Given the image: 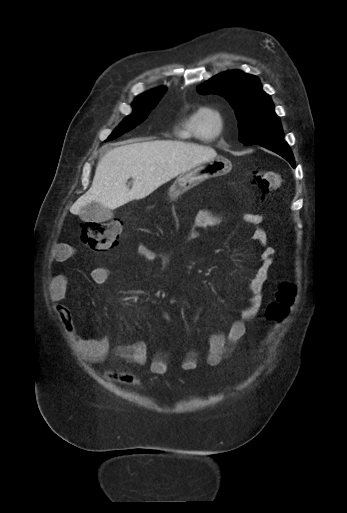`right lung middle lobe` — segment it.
Segmentation results:
<instances>
[{"mask_svg":"<svg viewBox=\"0 0 347 513\" xmlns=\"http://www.w3.org/2000/svg\"><path fill=\"white\" fill-rule=\"evenodd\" d=\"M166 90V88L161 87L137 97L133 103V113L123 120L107 140H113L143 122L150 111L158 104Z\"/></svg>","mask_w":347,"mask_h":513,"instance_id":"dd1d6c3e","label":"right lung middle lobe"}]
</instances>
